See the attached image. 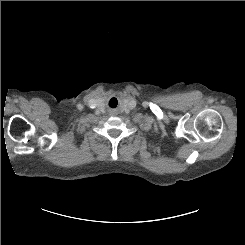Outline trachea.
<instances>
[{
  "mask_svg": "<svg viewBox=\"0 0 245 245\" xmlns=\"http://www.w3.org/2000/svg\"><path fill=\"white\" fill-rule=\"evenodd\" d=\"M110 103H117V99L116 98H112Z\"/></svg>",
  "mask_w": 245,
  "mask_h": 245,
  "instance_id": "3493384b",
  "label": "trachea"
}]
</instances>
